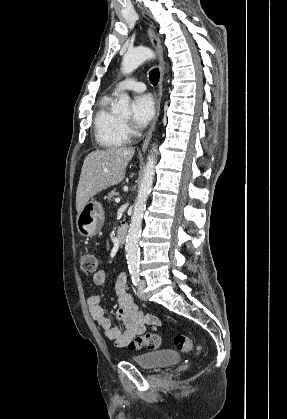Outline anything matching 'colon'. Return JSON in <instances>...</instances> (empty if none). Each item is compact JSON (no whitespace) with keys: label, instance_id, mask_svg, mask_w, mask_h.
<instances>
[{"label":"colon","instance_id":"5ec220e1","mask_svg":"<svg viewBox=\"0 0 287 419\" xmlns=\"http://www.w3.org/2000/svg\"><path fill=\"white\" fill-rule=\"evenodd\" d=\"M79 264L84 275L92 276L97 273L100 268V259L92 251L83 250L79 253ZM174 344L176 348L183 353H189L193 350L192 339L187 335H176L174 337ZM160 345V336L157 334L148 333L133 338L129 342L128 348L130 350H140L146 347L148 349L155 350L158 349Z\"/></svg>","mask_w":287,"mask_h":419}]
</instances>
